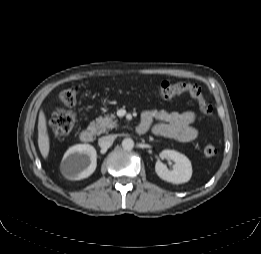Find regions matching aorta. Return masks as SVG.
<instances>
[{
	"instance_id": "1",
	"label": "aorta",
	"mask_w": 261,
	"mask_h": 254,
	"mask_svg": "<svg viewBox=\"0 0 261 254\" xmlns=\"http://www.w3.org/2000/svg\"><path fill=\"white\" fill-rule=\"evenodd\" d=\"M122 147L125 150H132L134 147V141L131 138H125L122 141Z\"/></svg>"
}]
</instances>
